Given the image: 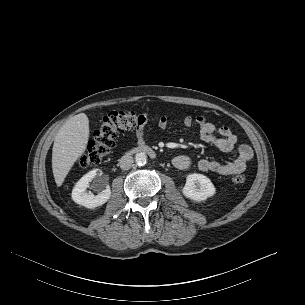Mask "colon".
I'll list each match as a JSON object with an SVG mask.
<instances>
[{
    "label": "colon",
    "instance_id": "1",
    "mask_svg": "<svg viewBox=\"0 0 305 305\" xmlns=\"http://www.w3.org/2000/svg\"><path fill=\"white\" fill-rule=\"evenodd\" d=\"M146 120L144 114L130 110H119L108 113L95 131L93 140L89 143L80 158V166L87 168L101 163L115 145L117 136L127 130L133 129ZM234 184L245 182L242 174L233 177Z\"/></svg>",
    "mask_w": 305,
    "mask_h": 305
}]
</instances>
